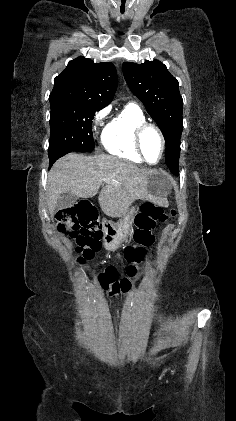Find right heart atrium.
Instances as JSON below:
<instances>
[{
  "mask_svg": "<svg viewBox=\"0 0 236 421\" xmlns=\"http://www.w3.org/2000/svg\"><path fill=\"white\" fill-rule=\"evenodd\" d=\"M106 115L105 111H100L96 114L95 118H94V126H93V131H96V127L103 121L104 117Z\"/></svg>",
  "mask_w": 236,
  "mask_h": 421,
  "instance_id": "d8ad5b80",
  "label": "right heart atrium"
}]
</instances>
